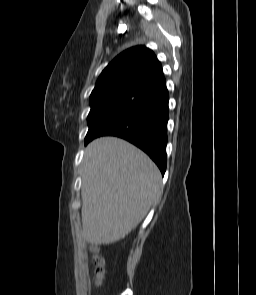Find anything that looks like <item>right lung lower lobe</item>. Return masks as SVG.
<instances>
[{
	"label": "right lung lower lobe",
	"mask_w": 256,
	"mask_h": 295,
	"mask_svg": "<svg viewBox=\"0 0 256 295\" xmlns=\"http://www.w3.org/2000/svg\"><path fill=\"white\" fill-rule=\"evenodd\" d=\"M169 94L164 76L136 96L85 144L103 135L118 136L133 143L157 164L164 175Z\"/></svg>",
	"instance_id": "98d812e1"
}]
</instances>
